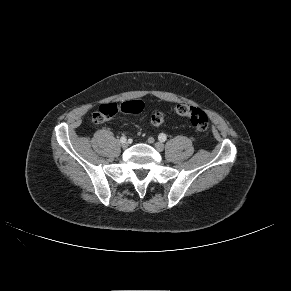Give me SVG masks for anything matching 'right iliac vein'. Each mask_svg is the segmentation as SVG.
Returning <instances> with one entry per match:
<instances>
[{"label": "right iliac vein", "mask_w": 291, "mask_h": 291, "mask_svg": "<svg viewBox=\"0 0 291 291\" xmlns=\"http://www.w3.org/2000/svg\"><path fill=\"white\" fill-rule=\"evenodd\" d=\"M121 145H122L123 149H126L129 146L128 142H126V141L123 142Z\"/></svg>", "instance_id": "right-iliac-vein-1"}]
</instances>
